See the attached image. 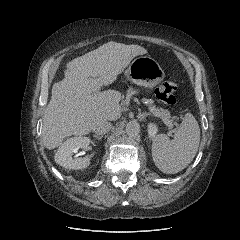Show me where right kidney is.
I'll list each match as a JSON object with an SVG mask.
<instances>
[{"mask_svg": "<svg viewBox=\"0 0 240 240\" xmlns=\"http://www.w3.org/2000/svg\"><path fill=\"white\" fill-rule=\"evenodd\" d=\"M90 144L88 137H72L64 141L55 154V162L66 169H85L90 164V159L94 153L89 156L78 158L73 157L80 148L87 149Z\"/></svg>", "mask_w": 240, "mask_h": 240, "instance_id": "right-kidney-1", "label": "right kidney"}]
</instances>
